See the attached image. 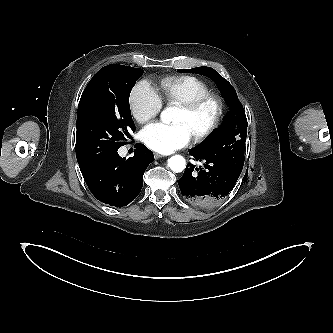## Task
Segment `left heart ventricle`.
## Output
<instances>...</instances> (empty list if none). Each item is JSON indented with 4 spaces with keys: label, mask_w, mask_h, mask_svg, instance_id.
Here are the masks:
<instances>
[{
    "label": "left heart ventricle",
    "mask_w": 333,
    "mask_h": 333,
    "mask_svg": "<svg viewBox=\"0 0 333 333\" xmlns=\"http://www.w3.org/2000/svg\"><path fill=\"white\" fill-rule=\"evenodd\" d=\"M216 113L217 107L214 103H208L193 115H188L179 109L174 122L176 124L185 125L193 136L194 134L204 131L212 123Z\"/></svg>",
    "instance_id": "left-heart-ventricle-1"
}]
</instances>
